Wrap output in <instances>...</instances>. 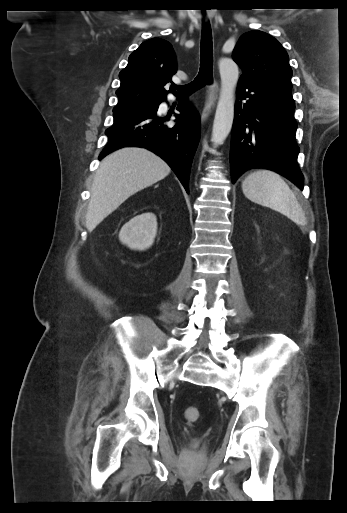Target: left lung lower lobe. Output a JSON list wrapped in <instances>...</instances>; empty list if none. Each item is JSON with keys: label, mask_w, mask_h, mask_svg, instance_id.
Listing matches in <instances>:
<instances>
[{"label": "left lung lower lobe", "mask_w": 347, "mask_h": 513, "mask_svg": "<svg viewBox=\"0 0 347 513\" xmlns=\"http://www.w3.org/2000/svg\"><path fill=\"white\" fill-rule=\"evenodd\" d=\"M292 85L239 80L232 128V182L246 170H273L303 190L297 164V123Z\"/></svg>", "instance_id": "0a47b994"}]
</instances>
